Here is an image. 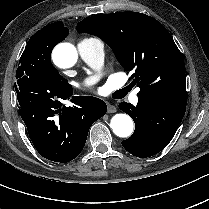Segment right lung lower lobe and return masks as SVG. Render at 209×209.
Listing matches in <instances>:
<instances>
[{
    "label": "right lung lower lobe",
    "instance_id": "obj_1",
    "mask_svg": "<svg viewBox=\"0 0 209 209\" xmlns=\"http://www.w3.org/2000/svg\"><path fill=\"white\" fill-rule=\"evenodd\" d=\"M20 114L39 154L66 163L82 151L91 125L107 111L106 104L92 96H72L73 89L27 78L15 83ZM72 96V97H71ZM73 106H62L70 99Z\"/></svg>",
    "mask_w": 209,
    "mask_h": 209
}]
</instances>
